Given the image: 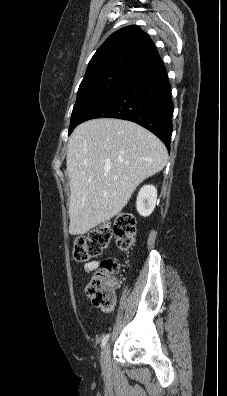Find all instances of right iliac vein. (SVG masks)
Instances as JSON below:
<instances>
[{"label":"right iliac vein","mask_w":227,"mask_h":396,"mask_svg":"<svg viewBox=\"0 0 227 396\" xmlns=\"http://www.w3.org/2000/svg\"><path fill=\"white\" fill-rule=\"evenodd\" d=\"M109 360H110V345L107 344L104 347V350H103L102 356H101V365H102L103 369H106L108 367Z\"/></svg>","instance_id":"obj_1"}]
</instances>
